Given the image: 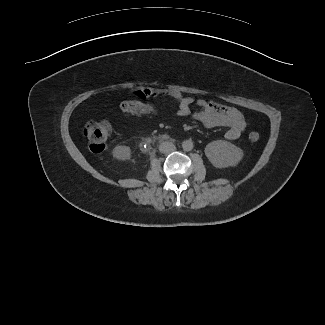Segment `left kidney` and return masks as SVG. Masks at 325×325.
<instances>
[{"instance_id": "1", "label": "left kidney", "mask_w": 325, "mask_h": 325, "mask_svg": "<svg viewBox=\"0 0 325 325\" xmlns=\"http://www.w3.org/2000/svg\"><path fill=\"white\" fill-rule=\"evenodd\" d=\"M205 155L216 168L236 166L243 158V151L234 144L217 140L205 147Z\"/></svg>"}]
</instances>
